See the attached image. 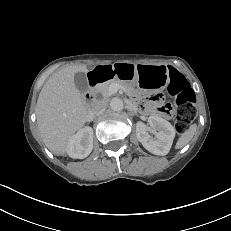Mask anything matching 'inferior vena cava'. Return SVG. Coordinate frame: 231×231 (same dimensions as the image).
I'll return each instance as SVG.
<instances>
[{"instance_id": "602c4592", "label": "inferior vena cava", "mask_w": 231, "mask_h": 231, "mask_svg": "<svg viewBox=\"0 0 231 231\" xmlns=\"http://www.w3.org/2000/svg\"><path fill=\"white\" fill-rule=\"evenodd\" d=\"M106 108V103L103 101H98L95 103V105L92 108L91 115L92 116H97L99 115L102 111H104Z\"/></svg>"}]
</instances>
